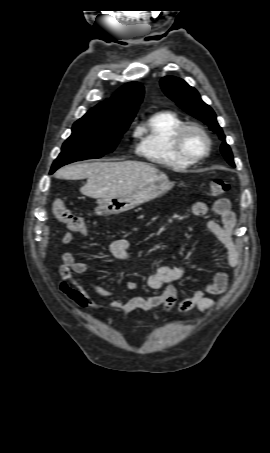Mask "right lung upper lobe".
I'll use <instances>...</instances> for the list:
<instances>
[{"label": "right lung upper lobe", "mask_w": 270, "mask_h": 453, "mask_svg": "<svg viewBox=\"0 0 270 453\" xmlns=\"http://www.w3.org/2000/svg\"><path fill=\"white\" fill-rule=\"evenodd\" d=\"M143 92L140 83L130 82L120 88L111 99L88 111L81 119H94L120 126L129 125L142 101Z\"/></svg>", "instance_id": "cb5924a9"}]
</instances>
